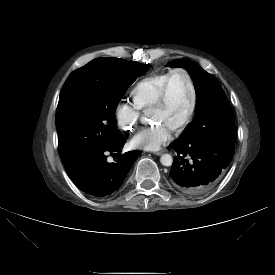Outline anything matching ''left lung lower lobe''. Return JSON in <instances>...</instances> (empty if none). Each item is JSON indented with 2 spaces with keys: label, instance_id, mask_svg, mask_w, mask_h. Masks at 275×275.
<instances>
[{
  "label": "left lung lower lobe",
  "instance_id": "1",
  "mask_svg": "<svg viewBox=\"0 0 275 275\" xmlns=\"http://www.w3.org/2000/svg\"><path fill=\"white\" fill-rule=\"evenodd\" d=\"M234 143L228 138L172 142L169 146L177 152L170 172L173 186L187 195L210 190L230 164Z\"/></svg>",
  "mask_w": 275,
  "mask_h": 275
}]
</instances>
